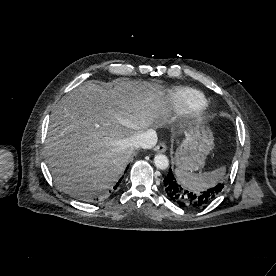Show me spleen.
<instances>
[{"label": "spleen", "mask_w": 276, "mask_h": 276, "mask_svg": "<svg viewBox=\"0 0 276 276\" xmlns=\"http://www.w3.org/2000/svg\"><path fill=\"white\" fill-rule=\"evenodd\" d=\"M225 171V167H220L211 172L196 174L176 169V176L185 187L196 191H202L215 186L219 181H221Z\"/></svg>", "instance_id": "obj_1"}]
</instances>
